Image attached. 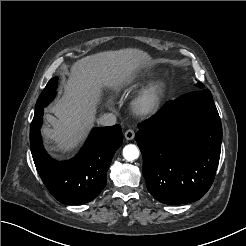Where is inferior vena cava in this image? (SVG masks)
Instances as JSON below:
<instances>
[{"label": "inferior vena cava", "instance_id": "inferior-vena-cava-1", "mask_svg": "<svg viewBox=\"0 0 246 246\" xmlns=\"http://www.w3.org/2000/svg\"><path fill=\"white\" fill-rule=\"evenodd\" d=\"M98 123L101 126H113L116 124V115L113 113H105L99 118Z\"/></svg>", "mask_w": 246, "mask_h": 246}]
</instances>
